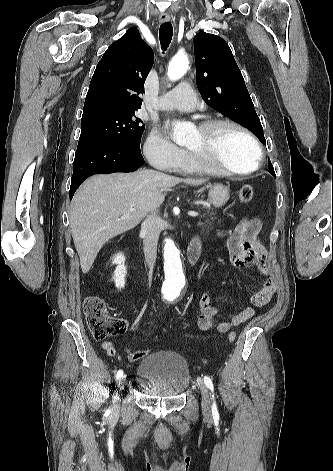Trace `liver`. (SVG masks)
Here are the masks:
<instances>
[{
  "label": "liver",
  "instance_id": "liver-1",
  "mask_svg": "<svg viewBox=\"0 0 333 471\" xmlns=\"http://www.w3.org/2000/svg\"><path fill=\"white\" fill-rule=\"evenodd\" d=\"M205 179H182L141 169L133 173L95 175L75 194L70 210V226L83 273L111 238L136 227L163 203L165 195L178 183L197 186ZM134 209L133 212H129Z\"/></svg>",
  "mask_w": 333,
  "mask_h": 471
}]
</instances>
